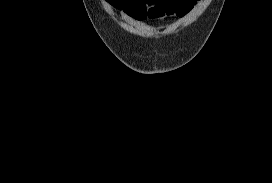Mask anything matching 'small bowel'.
Masks as SVG:
<instances>
[{"instance_id": "obj_1", "label": "small bowel", "mask_w": 272, "mask_h": 183, "mask_svg": "<svg viewBox=\"0 0 272 183\" xmlns=\"http://www.w3.org/2000/svg\"><path fill=\"white\" fill-rule=\"evenodd\" d=\"M197 0H108L115 8L126 15L143 21L160 19L175 14L179 17L187 14Z\"/></svg>"}]
</instances>
